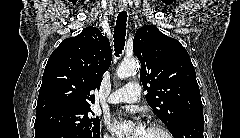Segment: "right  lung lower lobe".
Instances as JSON below:
<instances>
[{
  "label": "right lung lower lobe",
  "mask_w": 240,
  "mask_h": 138,
  "mask_svg": "<svg viewBox=\"0 0 240 138\" xmlns=\"http://www.w3.org/2000/svg\"><path fill=\"white\" fill-rule=\"evenodd\" d=\"M35 138H86L63 128H46L35 130ZM100 138V137H99Z\"/></svg>",
  "instance_id": "right-lung-lower-lobe-1"
}]
</instances>
